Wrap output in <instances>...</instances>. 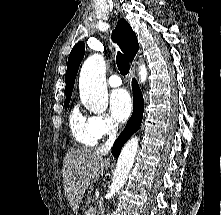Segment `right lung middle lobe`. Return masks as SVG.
I'll use <instances>...</instances> for the list:
<instances>
[{
  "label": "right lung middle lobe",
  "instance_id": "right-lung-middle-lobe-1",
  "mask_svg": "<svg viewBox=\"0 0 221 215\" xmlns=\"http://www.w3.org/2000/svg\"><path fill=\"white\" fill-rule=\"evenodd\" d=\"M69 101H70V99H66V100H65V102H64V106H65V108L68 107V105H69Z\"/></svg>",
  "mask_w": 221,
  "mask_h": 215
}]
</instances>
